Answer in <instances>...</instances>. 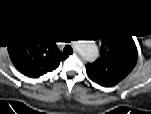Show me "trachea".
<instances>
[{
    "label": "trachea",
    "instance_id": "trachea-1",
    "mask_svg": "<svg viewBox=\"0 0 151 114\" xmlns=\"http://www.w3.org/2000/svg\"><path fill=\"white\" fill-rule=\"evenodd\" d=\"M64 52H65V53H70V52H71V48H70V47L64 48Z\"/></svg>",
    "mask_w": 151,
    "mask_h": 114
}]
</instances>
